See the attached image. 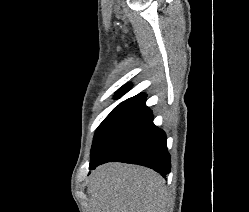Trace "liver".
Instances as JSON below:
<instances>
[{"label": "liver", "instance_id": "1", "mask_svg": "<svg viewBox=\"0 0 249 212\" xmlns=\"http://www.w3.org/2000/svg\"><path fill=\"white\" fill-rule=\"evenodd\" d=\"M87 212H166L165 180L153 170L110 162L88 180Z\"/></svg>", "mask_w": 249, "mask_h": 212}]
</instances>
